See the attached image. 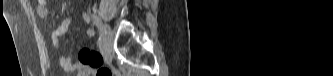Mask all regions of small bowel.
I'll list each match as a JSON object with an SVG mask.
<instances>
[{
  "instance_id": "1",
  "label": "small bowel",
  "mask_w": 333,
  "mask_h": 76,
  "mask_svg": "<svg viewBox=\"0 0 333 76\" xmlns=\"http://www.w3.org/2000/svg\"><path fill=\"white\" fill-rule=\"evenodd\" d=\"M52 1H39L36 6V13L41 18H46L49 15V5ZM83 17L87 23L90 22V18L86 13H83ZM70 25L69 19L60 20L57 25L54 27L52 32L51 41L54 49H59L61 45V41L65 33L67 32ZM87 35L89 37H93L95 35V31L92 28L87 30ZM79 60L74 62L69 56H61L59 58L60 66L70 72L77 71L79 76H85V73L88 68H95L97 71L104 69L100 67L103 62V57L91 50L87 44H82L80 48V53L78 55Z\"/></svg>"
}]
</instances>
